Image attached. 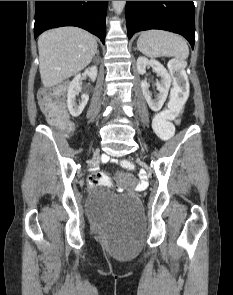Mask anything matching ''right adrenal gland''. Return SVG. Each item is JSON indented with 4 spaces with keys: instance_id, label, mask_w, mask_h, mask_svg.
Masks as SVG:
<instances>
[{
    "instance_id": "2a0ac1e0",
    "label": "right adrenal gland",
    "mask_w": 233,
    "mask_h": 295,
    "mask_svg": "<svg viewBox=\"0 0 233 295\" xmlns=\"http://www.w3.org/2000/svg\"><path fill=\"white\" fill-rule=\"evenodd\" d=\"M96 54L99 55V50H97Z\"/></svg>"
}]
</instances>
